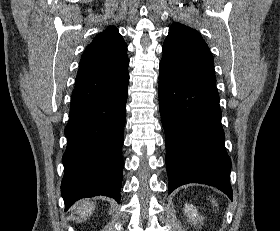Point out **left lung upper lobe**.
I'll return each instance as SVG.
<instances>
[{"label":"left lung upper lobe","instance_id":"5c2ea615","mask_svg":"<svg viewBox=\"0 0 280 231\" xmlns=\"http://www.w3.org/2000/svg\"><path fill=\"white\" fill-rule=\"evenodd\" d=\"M160 71L180 81H216L210 50L194 29L174 23L163 44Z\"/></svg>","mask_w":280,"mask_h":231}]
</instances>
